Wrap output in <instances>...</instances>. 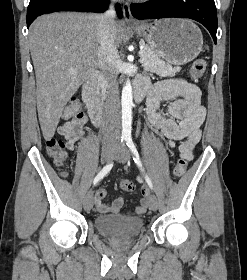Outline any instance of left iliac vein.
Returning <instances> with one entry per match:
<instances>
[{
  "instance_id": "1",
  "label": "left iliac vein",
  "mask_w": 247,
  "mask_h": 280,
  "mask_svg": "<svg viewBox=\"0 0 247 280\" xmlns=\"http://www.w3.org/2000/svg\"><path fill=\"white\" fill-rule=\"evenodd\" d=\"M130 157L129 151L128 149L123 146H118L115 152V159L119 162V163H125L128 161ZM149 208L153 211H156L158 209V201L157 198L154 194H151L149 196Z\"/></svg>"
}]
</instances>
